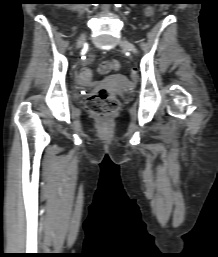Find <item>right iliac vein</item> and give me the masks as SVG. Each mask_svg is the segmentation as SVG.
Masks as SVG:
<instances>
[{"label":"right iliac vein","mask_w":218,"mask_h":257,"mask_svg":"<svg viewBox=\"0 0 218 257\" xmlns=\"http://www.w3.org/2000/svg\"><path fill=\"white\" fill-rule=\"evenodd\" d=\"M85 39H86V35H85V34L81 35V36L78 38L77 43H76V48H77V49H79V48L82 47V45H83L84 42H85Z\"/></svg>","instance_id":"1"}]
</instances>
